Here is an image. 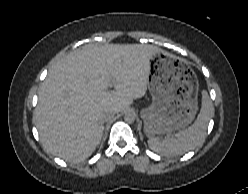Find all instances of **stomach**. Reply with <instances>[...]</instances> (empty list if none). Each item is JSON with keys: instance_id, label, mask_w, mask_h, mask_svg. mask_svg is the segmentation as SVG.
I'll use <instances>...</instances> for the list:
<instances>
[{"instance_id": "stomach-1", "label": "stomach", "mask_w": 248, "mask_h": 194, "mask_svg": "<svg viewBox=\"0 0 248 194\" xmlns=\"http://www.w3.org/2000/svg\"><path fill=\"white\" fill-rule=\"evenodd\" d=\"M153 74L148 85L152 104L141 111L145 133L151 137L188 126L198 110V80L193 69L169 53L150 57Z\"/></svg>"}]
</instances>
